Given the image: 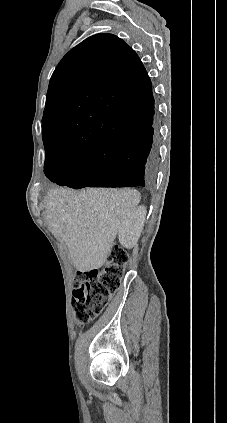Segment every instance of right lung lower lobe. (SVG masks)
<instances>
[{"label": "right lung lower lobe", "instance_id": "1", "mask_svg": "<svg viewBox=\"0 0 227 423\" xmlns=\"http://www.w3.org/2000/svg\"><path fill=\"white\" fill-rule=\"evenodd\" d=\"M100 113L107 118L129 120L130 130L86 150L79 159L45 163L46 177L74 189L151 188L159 164V129L154 121L153 94L140 101L102 107Z\"/></svg>", "mask_w": 227, "mask_h": 423}]
</instances>
